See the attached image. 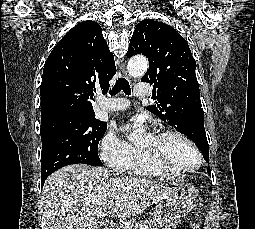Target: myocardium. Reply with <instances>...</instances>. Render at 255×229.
Here are the masks:
<instances>
[{"mask_svg": "<svg viewBox=\"0 0 255 229\" xmlns=\"http://www.w3.org/2000/svg\"><path fill=\"white\" fill-rule=\"evenodd\" d=\"M154 136H156V137H165V136L179 137L182 140H184L187 144H189L197 155V162L195 165H193L191 167L183 168V169H176V168H172L170 166L165 165L161 160L156 159V157L152 153L139 147V149L143 152V154L146 156V158L150 162L155 164L158 168L166 171L167 173H169L171 175L178 177V176H183L188 173H191V172L197 170L201 166V164L203 162L202 153H201L200 149L198 148V146L196 145V143L189 136H187L185 133L178 131V130H164V131H159V132L155 133Z\"/></svg>", "mask_w": 255, "mask_h": 229, "instance_id": "1", "label": "myocardium"}]
</instances>
